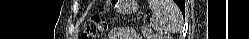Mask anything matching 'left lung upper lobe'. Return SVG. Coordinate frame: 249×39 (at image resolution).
<instances>
[{
	"mask_svg": "<svg viewBox=\"0 0 249 39\" xmlns=\"http://www.w3.org/2000/svg\"><path fill=\"white\" fill-rule=\"evenodd\" d=\"M183 3L182 2H179L178 5H182Z\"/></svg>",
	"mask_w": 249,
	"mask_h": 39,
	"instance_id": "5c2ea615",
	"label": "left lung upper lobe"
}]
</instances>
